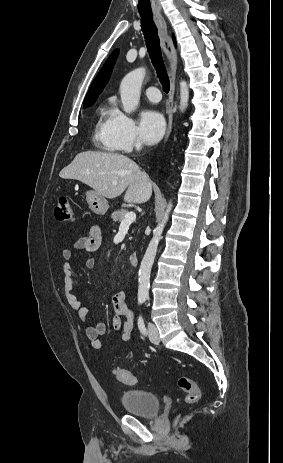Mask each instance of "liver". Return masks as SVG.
<instances>
[{
    "label": "liver",
    "mask_w": 283,
    "mask_h": 463,
    "mask_svg": "<svg viewBox=\"0 0 283 463\" xmlns=\"http://www.w3.org/2000/svg\"><path fill=\"white\" fill-rule=\"evenodd\" d=\"M59 176L79 180L109 199L125 191L124 201L128 203H145L152 195L149 176L132 159L119 153L81 152Z\"/></svg>",
    "instance_id": "6515ba94"
}]
</instances>
